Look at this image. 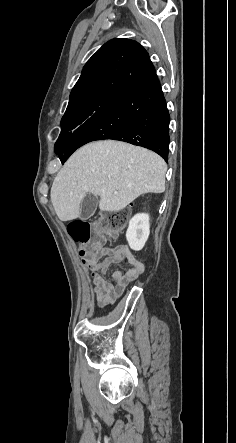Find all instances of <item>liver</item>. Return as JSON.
<instances>
[{
  "instance_id": "6515ba94",
  "label": "liver",
  "mask_w": 236,
  "mask_h": 443,
  "mask_svg": "<svg viewBox=\"0 0 236 443\" xmlns=\"http://www.w3.org/2000/svg\"><path fill=\"white\" fill-rule=\"evenodd\" d=\"M167 165L156 153L105 140L78 149L54 178L51 202L58 218H78L87 193L100 197L102 211L124 209L141 194L165 191Z\"/></svg>"
}]
</instances>
